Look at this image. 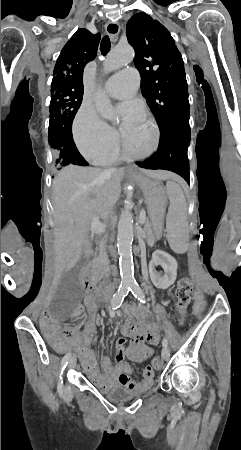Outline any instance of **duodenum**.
Wrapping results in <instances>:
<instances>
[{
    "label": "duodenum",
    "mask_w": 241,
    "mask_h": 450,
    "mask_svg": "<svg viewBox=\"0 0 241 450\" xmlns=\"http://www.w3.org/2000/svg\"><path fill=\"white\" fill-rule=\"evenodd\" d=\"M82 280L84 282V284H86L87 286H93L94 285V279L93 276L91 274V272L89 270H85L82 273ZM112 289H113V285L112 284H108L106 286H104L100 292L101 297L102 298H107L111 295L112 293Z\"/></svg>",
    "instance_id": "1"
}]
</instances>
